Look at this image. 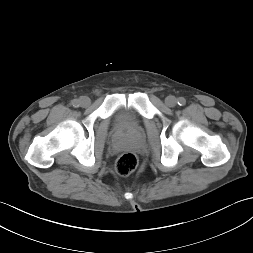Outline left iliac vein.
I'll return each mask as SVG.
<instances>
[{
    "instance_id": "1",
    "label": "left iliac vein",
    "mask_w": 253,
    "mask_h": 253,
    "mask_svg": "<svg viewBox=\"0 0 253 253\" xmlns=\"http://www.w3.org/2000/svg\"><path fill=\"white\" fill-rule=\"evenodd\" d=\"M177 103V100L174 96H167L165 99V104L169 107H174Z\"/></svg>"
}]
</instances>
